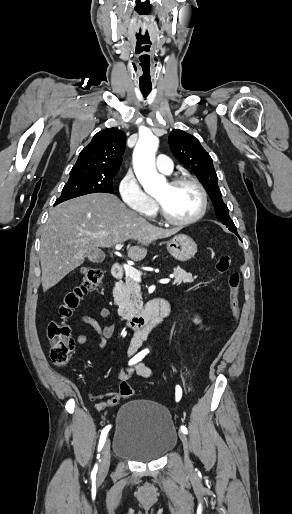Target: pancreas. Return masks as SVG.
Segmentation results:
<instances>
[{"label": "pancreas", "mask_w": 292, "mask_h": 514, "mask_svg": "<svg viewBox=\"0 0 292 514\" xmlns=\"http://www.w3.org/2000/svg\"><path fill=\"white\" fill-rule=\"evenodd\" d=\"M174 278L173 284H182V282L186 284V282H194L197 276L193 278L192 274H187L185 270L175 268ZM116 286H119V290L114 296V302L116 306H119L118 314L125 318V320H129V318H132L134 314L139 312L137 308L143 304L140 284L136 280H132V278H125L123 286H120V284H116Z\"/></svg>", "instance_id": "obj_1"}]
</instances>
